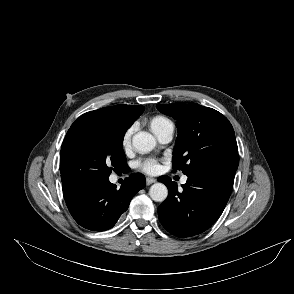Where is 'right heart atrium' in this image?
<instances>
[{"label":"right heart atrium","mask_w":294,"mask_h":294,"mask_svg":"<svg viewBox=\"0 0 294 294\" xmlns=\"http://www.w3.org/2000/svg\"><path fill=\"white\" fill-rule=\"evenodd\" d=\"M133 133V127H130L123 135L122 145L124 148H127L130 145L131 136Z\"/></svg>","instance_id":"d8ad5b80"}]
</instances>
